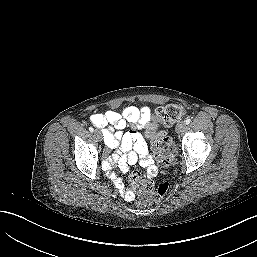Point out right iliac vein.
<instances>
[{
    "label": "right iliac vein",
    "instance_id": "obj_1",
    "mask_svg": "<svg viewBox=\"0 0 257 257\" xmlns=\"http://www.w3.org/2000/svg\"><path fill=\"white\" fill-rule=\"evenodd\" d=\"M94 135H95L99 140L102 139V133H101L99 130H95V131H94Z\"/></svg>",
    "mask_w": 257,
    "mask_h": 257
}]
</instances>
